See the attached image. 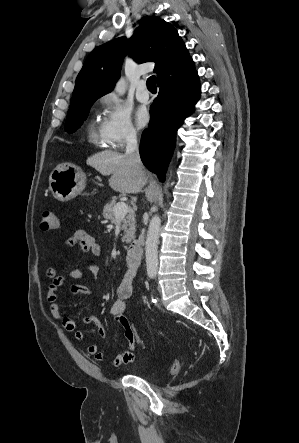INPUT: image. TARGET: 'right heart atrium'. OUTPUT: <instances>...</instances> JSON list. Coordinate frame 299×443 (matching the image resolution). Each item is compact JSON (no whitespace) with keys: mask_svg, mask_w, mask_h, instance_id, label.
<instances>
[{"mask_svg":"<svg viewBox=\"0 0 299 443\" xmlns=\"http://www.w3.org/2000/svg\"><path fill=\"white\" fill-rule=\"evenodd\" d=\"M103 119L100 132L106 146L121 148L138 137L127 107L114 94H106L100 99Z\"/></svg>","mask_w":299,"mask_h":443,"instance_id":"d8ad5b80","label":"right heart atrium"}]
</instances>
